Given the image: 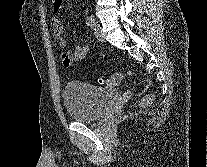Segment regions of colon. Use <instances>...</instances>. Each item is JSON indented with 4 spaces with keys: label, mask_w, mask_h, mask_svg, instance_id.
<instances>
[{
    "label": "colon",
    "mask_w": 207,
    "mask_h": 167,
    "mask_svg": "<svg viewBox=\"0 0 207 167\" xmlns=\"http://www.w3.org/2000/svg\"><path fill=\"white\" fill-rule=\"evenodd\" d=\"M122 81V75L120 73H117L111 77L108 78H101L100 83L107 86H116ZM154 101V96L152 94L145 95L142 97L140 101V106L147 107L152 104Z\"/></svg>",
    "instance_id": "5ec220e1"
}]
</instances>
